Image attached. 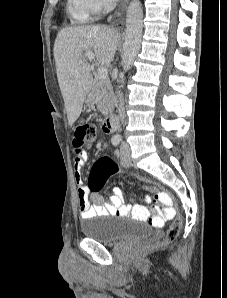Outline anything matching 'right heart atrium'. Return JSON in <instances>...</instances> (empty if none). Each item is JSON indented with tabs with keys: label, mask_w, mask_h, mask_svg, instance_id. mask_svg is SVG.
Instances as JSON below:
<instances>
[{
	"label": "right heart atrium",
	"mask_w": 227,
	"mask_h": 298,
	"mask_svg": "<svg viewBox=\"0 0 227 298\" xmlns=\"http://www.w3.org/2000/svg\"><path fill=\"white\" fill-rule=\"evenodd\" d=\"M75 4L90 16H96L109 9L112 0H73Z\"/></svg>",
	"instance_id": "1"
}]
</instances>
